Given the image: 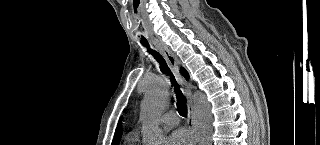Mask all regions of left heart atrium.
I'll list each match as a JSON object with an SVG mask.
<instances>
[{"label": "left heart atrium", "mask_w": 320, "mask_h": 145, "mask_svg": "<svg viewBox=\"0 0 320 145\" xmlns=\"http://www.w3.org/2000/svg\"><path fill=\"white\" fill-rule=\"evenodd\" d=\"M169 145H190L191 138L185 130H176L168 139Z\"/></svg>", "instance_id": "39dd6f15"}]
</instances>
